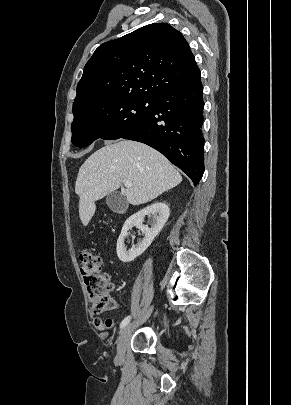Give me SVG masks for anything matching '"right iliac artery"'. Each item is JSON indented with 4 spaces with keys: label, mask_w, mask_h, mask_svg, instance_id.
Returning a JSON list of instances; mask_svg holds the SVG:
<instances>
[{
    "label": "right iliac artery",
    "mask_w": 291,
    "mask_h": 405,
    "mask_svg": "<svg viewBox=\"0 0 291 405\" xmlns=\"http://www.w3.org/2000/svg\"><path fill=\"white\" fill-rule=\"evenodd\" d=\"M131 316H127L126 318H124L120 324V329H123L130 321Z\"/></svg>",
    "instance_id": "1"
}]
</instances>
